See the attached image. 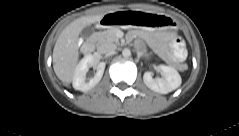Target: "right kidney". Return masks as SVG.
Returning a JSON list of instances; mask_svg holds the SVG:
<instances>
[{
  "label": "right kidney",
  "mask_w": 239,
  "mask_h": 136,
  "mask_svg": "<svg viewBox=\"0 0 239 136\" xmlns=\"http://www.w3.org/2000/svg\"><path fill=\"white\" fill-rule=\"evenodd\" d=\"M96 67L97 72L94 77L87 79L86 74L89 67ZM105 62L96 63L95 58L91 54L85 55L83 59L77 64L74 77H73V88L82 92H86L95 87L101 80L104 70Z\"/></svg>",
  "instance_id": "ca27d5eb"
}]
</instances>
